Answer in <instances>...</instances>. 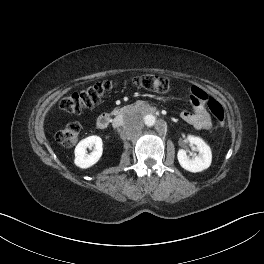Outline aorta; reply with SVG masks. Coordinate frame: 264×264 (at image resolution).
<instances>
[{
    "mask_svg": "<svg viewBox=\"0 0 264 264\" xmlns=\"http://www.w3.org/2000/svg\"><path fill=\"white\" fill-rule=\"evenodd\" d=\"M143 122L146 126L148 127H152L155 125L156 123V118L154 115L152 114H147L143 117Z\"/></svg>",
    "mask_w": 264,
    "mask_h": 264,
    "instance_id": "aorta-1",
    "label": "aorta"
}]
</instances>
